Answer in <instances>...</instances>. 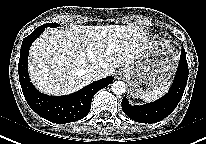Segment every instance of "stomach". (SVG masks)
Masks as SVG:
<instances>
[{
  "label": "stomach",
  "mask_w": 206,
  "mask_h": 144,
  "mask_svg": "<svg viewBox=\"0 0 206 144\" xmlns=\"http://www.w3.org/2000/svg\"><path fill=\"white\" fill-rule=\"evenodd\" d=\"M177 58L178 53L170 42L150 43L138 60L121 69L130 95L141 98L166 83L175 71Z\"/></svg>",
  "instance_id": "stomach-1"
}]
</instances>
